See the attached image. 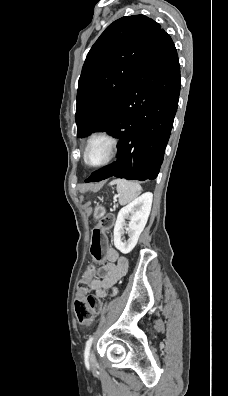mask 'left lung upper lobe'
<instances>
[{
    "instance_id": "5c2ea615",
    "label": "left lung upper lobe",
    "mask_w": 228,
    "mask_h": 396,
    "mask_svg": "<svg viewBox=\"0 0 228 396\" xmlns=\"http://www.w3.org/2000/svg\"><path fill=\"white\" fill-rule=\"evenodd\" d=\"M161 26L144 15L110 24L90 49L77 91V136L106 131L122 98L142 68Z\"/></svg>"
}]
</instances>
